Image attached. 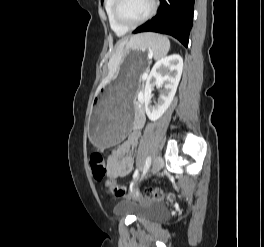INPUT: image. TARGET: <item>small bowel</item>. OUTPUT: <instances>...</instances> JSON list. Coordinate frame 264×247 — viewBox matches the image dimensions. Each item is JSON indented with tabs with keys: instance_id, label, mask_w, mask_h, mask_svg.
<instances>
[{
	"instance_id": "1",
	"label": "small bowel",
	"mask_w": 264,
	"mask_h": 247,
	"mask_svg": "<svg viewBox=\"0 0 264 247\" xmlns=\"http://www.w3.org/2000/svg\"><path fill=\"white\" fill-rule=\"evenodd\" d=\"M144 115L140 114L133 123V129L126 140L112 150L108 157V177L112 180L128 175L134 165L131 150L137 146L140 138V129L144 124Z\"/></svg>"
}]
</instances>
